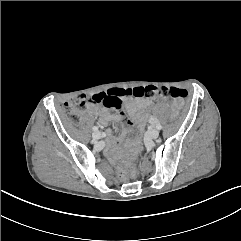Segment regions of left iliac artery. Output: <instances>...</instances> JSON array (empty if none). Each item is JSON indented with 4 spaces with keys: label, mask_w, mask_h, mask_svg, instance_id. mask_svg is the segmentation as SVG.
I'll use <instances>...</instances> for the list:
<instances>
[{
    "label": "left iliac artery",
    "mask_w": 241,
    "mask_h": 241,
    "mask_svg": "<svg viewBox=\"0 0 241 241\" xmlns=\"http://www.w3.org/2000/svg\"><path fill=\"white\" fill-rule=\"evenodd\" d=\"M156 128H157L158 130H161V129H162V125L158 123V124L156 125Z\"/></svg>",
    "instance_id": "obj_1"
}]
</instances>
